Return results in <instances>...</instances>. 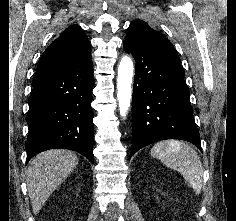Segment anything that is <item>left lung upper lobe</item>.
<instances>
[{
  "instance_id": "5c2ea615",
  "label": "left lung upper lobe",
  "mask_w": 236,
  "mask_h": 221,
  "mask_svg": "<svg viewBox=\"0 0 236 221\" xmlns=\"http://www.w3.org/2000/svg\"><path fill=\"white\" fill-rule=\"evenodd\" d=\"M127 36H135L140 40L179 58L173 44L162 35L160 31L152 29L145 21L139 19L132 21Z\"/></svg>"
}]
</instances>
